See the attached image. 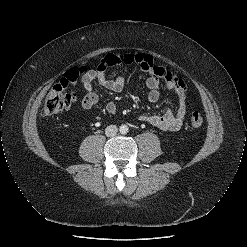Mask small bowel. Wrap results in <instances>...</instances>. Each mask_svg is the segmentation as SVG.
<instances>
[{"label":"small bowel","mask_w":247,"mask_h":247,"mask_svg":"<svg viewBox=\"0 0 247 247\" xmlns=\"http://www.w3.org/2000/svg\"><path fill=\"white\" fill-rule=\"evenodd\" d=\"M130 65H138L148 74L146 87L148 88V99L150 102H157L159 100V84L161 81L164 82L167 88L174 90L178 99V107L175 112L168 110L160 115L144 113L139 116V119L165 131H178L184 123L187 112L186 84L176 74L154 64L153 58L149 54H107L96 69L89 70L82 75L81 81L86 91V95L81 102L82 107L90 109L99 101V97L94 91V82L113 92L122 91L125 85L124 77L117 75L114 79H110L106 75V70L109 67H125ZM105 108L110 115H114L117 112L116 104L112 101L108 102Z\"/></svg>","instance_id":"small-bowel-1"}]
</instances>
